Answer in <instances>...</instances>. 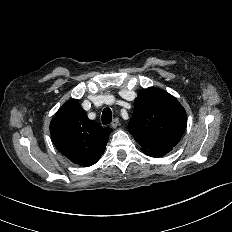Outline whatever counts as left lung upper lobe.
<instances>
[{
    "label": "left lung upper lobe",
    "mask_w": 232,
    "mask_h": 232,
    "mask_svg": "<svg viewBox=\"0 0 232 232\" xmlns=\"http://www.w3.org/2000/svg\"><path fill=\"white\" fill-rule=\"evenodd\" d=\"M186 120V112L175 97L149 87L135 100L128 130L143 149L174 147L185 131Z\"/></svg>",
    "instance_id": "1"
}]
</instances>
